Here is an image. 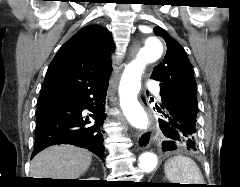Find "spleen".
<instances>
[{"mask_svg":"<svg viewBox=\"0 0 240 187\" xmlns=\"http://www.w3.org/2000/svg\"><path fill=\"white\" fill-rule=\"evenodd\" d=\"M165 175L172 183L203 184L204 179L196 163L189 157L175 156L165 164Z\"/></svg>","mask_w":240,"mask_h":187,"instance_id":"obj_1","label":"spleen"}]
</instances>
